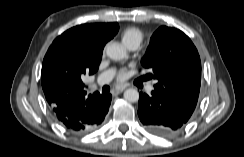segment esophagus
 Returning a JSON list of instances; mask_svg holds the SVG:
<instances>
[{"mask_svg":"<svg viewBox=\"0 0 244 157\" xmlns=\"http://www.w3.org/2000/svg\"><path fill=\"white\" fill-rule=\"evenodd\" d=\"M125 88H126V86H119V87L113 89L111 91V93L113 96H116V95L120 94Z\"/></svg>","mask_w":244,"mask_h":157,"instance_id":"1","label":"esophagus"}]
</instances>
